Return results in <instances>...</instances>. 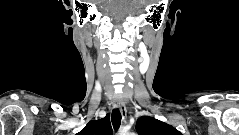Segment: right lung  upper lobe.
<instances>
[{
  "label": "right lung upper lobe",
  "mask_w": 239,
  "mask_h": 135,
  "mask_svg": "<svg viewBox=\"0 0 239 135\" xmlns=\"http://www.w3.org/2000/svg\"><path fill=\"white\" fill-rule=\"evenodd\" d=\"M109 114L104 118L90 121L77 135H112Z\"/></svg>",
  "instance_id": "1"
}]
</instances>
